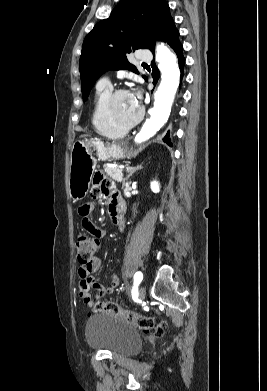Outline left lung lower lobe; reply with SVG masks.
<instances>
[{"instance_id":"left-lung-lower-lobe-1","label":"left lung lower lobe","mask_w":267,"mask_h":391,"mask_svg":"<svg viewBox=\"0 0 267 391\" xmlns=\"http://www.w3.org/2000/svg\"><path fill=\"white\" fill-rule=\"evenodd\" d=\"M164 42H167L168 45L175 51V53L177 54V57H178V63H179V68H180V71H181V79L183 77V67H184V64H185V58L183 56V46L182 44L180 43L179 41V32L178 30L176 29V27H172L169 32L166 34V36L164 37L163 39ZM154 50L155 48H153L151 50V52L154 54ZM151 66H152V78L154 79L153 81V84L156 85L158 79H159V70L158 68L156 67L155 65V61L153 60L152 63H151ZM164 141L172 146L171 142L169 141V132L167 133V135L164 137Z\"/></svg>"}]
</instances>
